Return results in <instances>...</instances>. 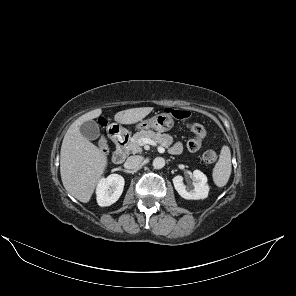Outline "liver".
<instances>
[{
    "instance_id": "obj_1",
    "label": "liver",
    "mask_w": 296,
    "mask_h": 296,
    "mask_svg": "<svg viewBox=\"0 0 296 296\" xmlns=\"http://www.w3.org/2000/svg\"><path fill=\"white\" fill-rule=\"evenodd\" d=\"M153 107L132 108L117 112L114 120L134 124L145 118ZM100 108L74 121L67 130L60 152V174L64 188L83 203L90 201L96 185L108 165L106 154L80 133V126L101 115Z\"/></svg>"
}]
</instances>
